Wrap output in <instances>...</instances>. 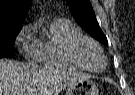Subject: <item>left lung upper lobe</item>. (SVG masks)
Masks as SVG:
<instances>
[{"label":"left lung upper lobe","mask_w":135,"mask_h":95,"mask_svg":"<svg viewBox=\"0 0 135 95\" xmlns=\"http://www.w3.org/2000/svg\"><path fill=\"white\" fill-rule=\"evenodd\" d=\"M77 23L92 37L103 44H108L102 32L89 0H66Z\"/></svg>","instance_id":"left-lung-upper-lobe-1"}]
</instances>
